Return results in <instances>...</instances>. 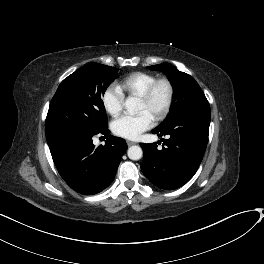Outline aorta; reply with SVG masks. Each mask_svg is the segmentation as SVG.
I'll use <instances>...</instances> for the list:
<instances>
[{"instance_id": "obj_1", "label": "aorta", "mask_w": 264, "mask_h": 264, "mask_svg": "<svg viewBox=\"0 0 264 264\" xmlns=\"http://www.w3.org/2000/svg\"><path fill=\"white\" fill-rule=\"evenodd\" d=\"M125 108L129 114H136L139 110V101L137 98L129 97L125 101ZM127 155L131 160H139L142 157V149L139 146L128 148Z\"/></svg>"}]
</instances>
